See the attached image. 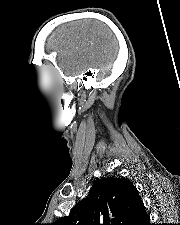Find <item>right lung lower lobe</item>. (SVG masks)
I'll return each instance as SVG.
<instances>
[{"label":"right lung lower lobe","mask_w":180,"mask_h":225,"mask_svg":"<svg viewBox=\"0 0 180 225\" xmlns=\"http://www.w3.org/2000/svg\"><path fill=\"white\" fill-rule=\"evenodd\" d=\"M145 225H151V224H150V220H149L147 223H145Z\"/></svg>","instance_id":"obj_1"}]
</instances>
